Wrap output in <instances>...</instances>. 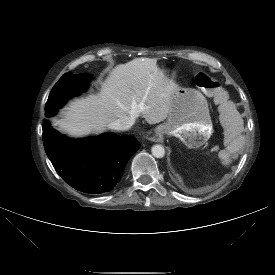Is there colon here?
<instances>
[{"mask_svg": "<svg viewBox=\"0 0 275 275\" xmlns=\"http://www.w3.org/2000/svg\"><path fill=\"white\" fill-rule=\"evenodd\" d=\"M195 82L206 93L213 96L218 104H223L227 101L226 90L214 77L209 76L204 72H197L195 75Z\"/></svg>", "mask_w": 275, "mask_h": 275, "instance_id": "1", "label": "colon"}]
</instances>
